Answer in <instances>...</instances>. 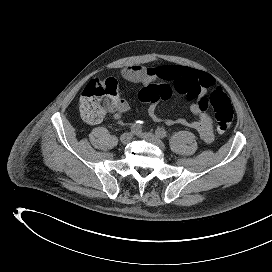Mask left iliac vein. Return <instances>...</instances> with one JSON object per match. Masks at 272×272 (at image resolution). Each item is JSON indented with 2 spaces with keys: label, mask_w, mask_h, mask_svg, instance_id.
<instances>
[{
  "label": "left iliac vein",
  "mask_w": 272,
  "mask_h": 272,
  "mask_svg": "<svg viewBox=\"0 0 272 272\" xmlns=\"http://www.w3.org/2000/svg\"><path fill=\"white\" fill-rule=\"evenodd\" d=\"M137 135L142 137L143 139L147 140L148 142L156 145L161 150L165 149V144L163 143V141L158 136H156V135H154L152 133H149V132L138 133Z\"/></svg>",
  "instance_id": "1"
}]
</instances>
